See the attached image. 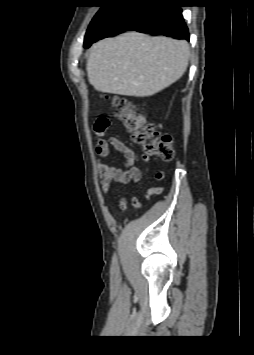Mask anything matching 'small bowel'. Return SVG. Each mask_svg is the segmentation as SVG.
<instances>
[{
  "instance_id": "1",
  "label": "small bowel",
  "mask_w": 254,
  "mask_h": 355,
  "mask_svg": "<svg viewBox=\"0 0 254 355\" xmlns=\"http://www.w3.org/2000/svg\"><path fill=\"white\" fill-rule=\"evenodd\" d=\"M106 119V118H105ZM108 120V119H107ZM109 122V120H108ZM110 122L108 123L109 127ZM106 129L99 131L95 128L96 132V153L98 156V180L101 186L102 193L107 195L110 191V188L115 183L128 184L130 182L138 183L141 179V171L138 167L134 165L135 163V153L128 147L124 142H122L117 137H105ZM110 146H112L116 151L123 154L125 158V169L115 168L104 163V159L108 158L110 154ZM144 161H148L149 157L143 156ZM165 177L164 171H159L155 175L157 181L163 180ZM161 191L159 187L149 188L147 191V196H151L154 193ZM136 203V198L132 197L128 199L126 197L122 198L119 203V207L122 210H126L130 204Z\"/></svg>"
}]
</instances>
